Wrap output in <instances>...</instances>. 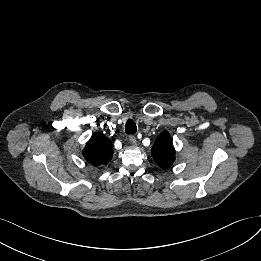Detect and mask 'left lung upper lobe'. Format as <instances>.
Wrapping results in <instances>:
<instances>
[{"label":"left lung upper lobe","instance_id":"left-lung-upper-lobe-1","mask_svg":"<svg viewBox=\"0 0 261 261\" xmlns=\"http://www.w3.org/2000/svg\"><path fill=\"white\" fill-rule=\"evenodd\" d=\"M152 156L155 162L161 168H168L175 161V149L172 144V139L168 131L162 132L155 141L152 149Z\"/></svg>","mask_w":261,"mask_h":261}]
</instances>
